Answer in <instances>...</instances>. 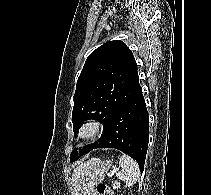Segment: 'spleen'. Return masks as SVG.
Returning <instances> with one entry per match:
<instances>
[{
  "label": "spleen",
  "instance_id": "spleen-1",
  "mask_svg": "<svg viewBox=\"0 0 211 195\" xmlns=\"http://www.w3.org/2000/svg\"><path fill=\"white\" fill-rule=\"evenodd\" d=\"M121 171L117 174L120 180H123L127 186L135 184L140 176V168L136 161L128 155L123 154L119 160Z\"/></svg>",
  "mask_w": 211,
  "mask_h": 195
}]
</instances>
